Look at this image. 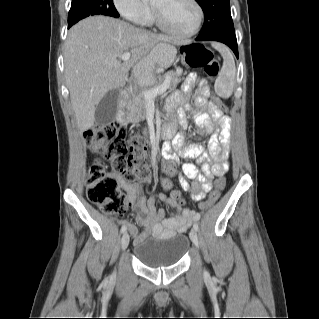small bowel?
Wrapping results in <instances>:
<instances>
[{
  "mask_svg": "<svg viewBox=\"0 0 319 319\" xmlns=\"http://www.w3.org/2000/svg\"><path fill=\"white\" fill-rule=\"evenodd\" d=\"M193 89L195 93L194 107L190 104ZM208 94V88L204 85L203 80L197 73L193 72L182 82L180 91L174 93L168 100L169 110H173L177 105L181 106L177 113L184 128L190 126L185 108L193 116L197 134L210 136L208 147L210 155L215 161L213 165L206 161V153L202 145H185L182 135L174 138L172 145L164 149L166 162L163 171L167 175L175 172V165L179 157L197 159L200 164L202 173L193 163H185L182 166L183 174L179 176L181 188L195 202L203 200L211 191V180L214 176L224 175L229 169L227 156L232 121L230 116L222 110L208 104ZM116 179L119 187L127 194L128 205H136L138 209L136 223L145 228V233L139 234L136 225L124 220L120 221V224L127 228L136 242L142 241L149 233L165 235L185 231L193 221L200 218L199 213L194 208H181V205L171 196L164 193H157L146 198L143 194V184L149 182L148 178H141L136 182L126 181L120 176H116ZM157 201L165 202L175 207L177 211L165 218L164 211L156 208Z\"/></svg>",
  "mask_w": 319,
  "mask_h": 319,
  "instance_id": "obj_1",
  "label": "small bowel"
}]
</instances>
